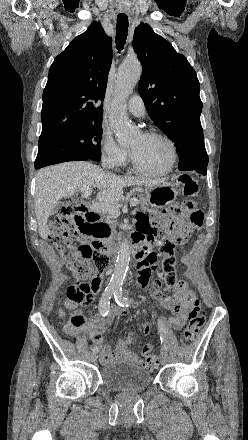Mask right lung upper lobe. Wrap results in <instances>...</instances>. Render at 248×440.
<instances>
[{"label":"right lung upper lobe","mask_w":248,"mask_h":440,"mask_svg":"<svg viewBox=\"0 0 248 440\" xmlns=\"http://www.w3.org/2000/svg\"><path fill=\"white\" fill-rule=\"evenodd\" d=\"M111 61V38L99 22H93L50 67L43 92L41 135L102 123L101 102Z\"/></svg>","instance_id":"1"}]
</instances>
